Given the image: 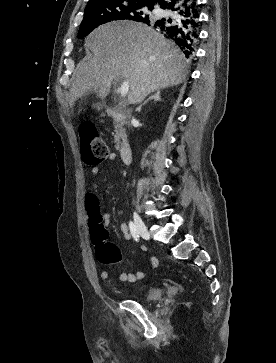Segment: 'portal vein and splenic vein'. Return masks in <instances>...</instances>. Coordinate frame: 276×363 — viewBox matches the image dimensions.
Wrapping results in <instances>:
<instances>
[{
	"mask_svg": "<svg viewBox=\"0 0 276 363\" xmlns=\"http://www.w3.org/2000/svg\"><path fill=\"white\" fill-rule=\"evenodd\" d=\"M129 91V83L128 81H124L121 86L118 88V92L121 94L122 97H125Z\"/></svg>",
	"mask_w": 276,
	"mask_h": 363,
	"instance_id": "obj_1",
	"label": "portal vein and splenic vein"
}]
</instances>
